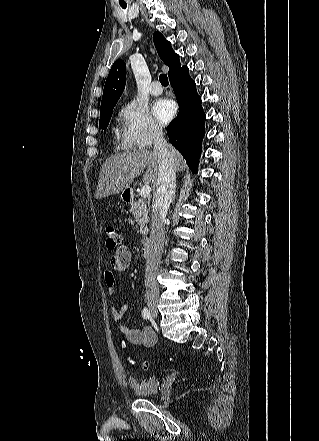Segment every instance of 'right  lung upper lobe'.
<instances>
[{"label": "right lung upper lobe", "instance_id": "1", "mask_svg": "<svg viewBox=\"0 0 319 441\" xmlns=\"http://www.w3.org/2000/svg\"><path fill=\"white\" fill-rule=\"evenodd\" d=\"M153 40L159 57L169 67V77L184 67H180L179 55L175 54L171 48V43L160 32L154 33ZM125 83L126 64L123 60H117L111 67L106 79L100 110L115 106L123 93Z\"/></svg>", "mask_w": 319, "mask_h": 441}]
</instances>
